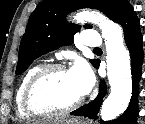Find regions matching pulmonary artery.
Returning <instances> with one entry per match:
<instances>
[{
    "instance_id": "1",
    "label": "pulmonary artery",
    "mask_w": 145,
    "mask_h": 124,
    "mask_svg": "<svg viewBox=\"0 0 145 124\" xmlns=\"http://www.w3.org/2000/svg\"><path fill=\"white\" fill-rule=\"evenodd\" d=\"M82 40L86 47L98 48L102 45V39L98 31L90 29L82 33Z\"/></svg>"
}]
</instances>
